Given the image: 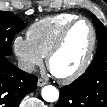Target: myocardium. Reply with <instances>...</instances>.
<instances>
[{
  "label": "myocardium",
  "instance_id": "f54148a6",
  "mask_svg": "<svg viewBox=\"0 0 107 107\" xmlns=\"http://www.w3.org/2000/svg\"><path fill=\"white\" fill-rule=\"evenodd\" d=\"M79 22H85L90 28L91 42H90L89 50H88V53H87L83 63L73 73H71L69 75H66V76H59V75L54 74L51 71L55 75V77L62 83H70V82L75 81L79 77H81L86 72L88 67L90 66V64L92 62V59H93V56H94V52H95V48H96V41H97L96 30H95L92 22L89 19H87L85 17H78V18L72 20L70 23H68L63 28V30L61 31V33L58 36L57 40L55 41L53 46L50 48V50H49V52L46 56L47 66L51 70L50 65H51V61H52L53 57L61 50V48L63 47V45H64V43L67 39V36H68L69 32Z\"/></svg>",
  "mask_w": 107,
  "mask_h": 107
}]
</instances>
